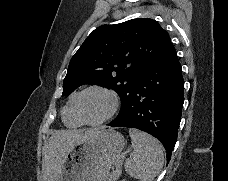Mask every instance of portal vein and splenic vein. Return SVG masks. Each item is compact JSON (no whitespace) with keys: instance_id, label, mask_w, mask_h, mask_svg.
Here are the masks:
<instances>
[{"instance_id":"obj_1","label":"portal vein and splenic vein","mask_w":228,"mask_h":181,"mask_svg":"<svg viewBox=\"0 0 228 181\" xmlns=\"http://www.w3.org/2000/svg\"><path fill=\"white\" fill-rule=\"evenodd\" d=\"M122 159H125V155H122ZM119 163H120V161H119ZM114 168H115V169H118V168H119V165H118V164H115V165H114Z\"/></svg>"}]
</instances>
